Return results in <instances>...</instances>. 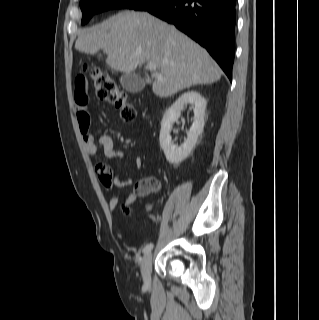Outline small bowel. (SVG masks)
I'll return each instance as SVG.
<instances>
[{"label": "small bowel", "mask_w": 319, "mask_h": 320, "mask_svg": "<svg viewBox=\"0 0 319 320\" xmlns=\"http://www.w3.org/2000/svg\"><path fill=\"white\" fill-rule=\"evenodd\" d=\"M75 116L76 121L79 127V130L82 134V139L85 147L86 153L94 157L97 154L98 147H101L104 153V156L108 159L121 161L125 153L121 149H117L114 146L113 138L112 136L108 134H102L98 137L97 141L94 140V138L89 134L88 130L91 125V113L88 109V92L86 85H80L76 86L75 90ZM134 164L138 169H141L143 166V159L141 156H136L134 158ZM106 165V164H104ZM105 177L104 180H100V176H102L101 173H97L99 180L101 181L104 188L112 192L116 189H122L126 188L132 185V179H122L121 173L119 169H116L113 171L109 167V173L104 172ZM137 199V194L132 192L128 195H126L123 198H120L118 196H113L110 201L109 205L110 207L114 208L118 204H124V205H131L135 202ZM129 212V211H128Z\"/></svg>", "instance_id": "small-bowel-1"}]
</instances>
